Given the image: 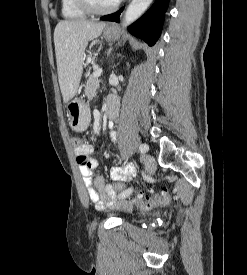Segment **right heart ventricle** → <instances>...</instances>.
<instances>
[{
  "instance_id": "obj_1",
  "label": "right heart ventricle",
  "mask_w": 247,
  "mask_h": 275,
  "mask_svg": "<svg viewBox=\"0 0 247 275\" xmlns=\"http://www.w3.org/2000/svg\"><path fill=\"white\" fill-rule=\"evenodd\" d=\"M61 12L68 19H81L86 16V13L76 7L73 0H61Z\"/></svg>"
}]
</instances>
